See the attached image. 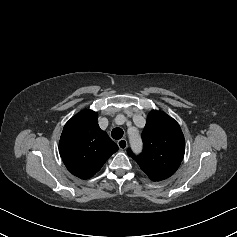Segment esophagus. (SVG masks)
I'll list each match as a JSON object with an SVG mask.
<instances>
[{
  "label": "esophagus",
  "instance_id": "esophagus-1",
  "mask_svg": "<svg viewBox=\"0 0 237 237\" xmlns=\"http://www.w3.org/2000/svg\"><path fill=\"white\" fill-rule=\"evenodd\" d=\"M117 145L121 150H125L127 148L128 143L126 139H120L118 140Z\"/></svg>",
  "mask_w": 237,
  "mask_h": 237
}]
</instances>
